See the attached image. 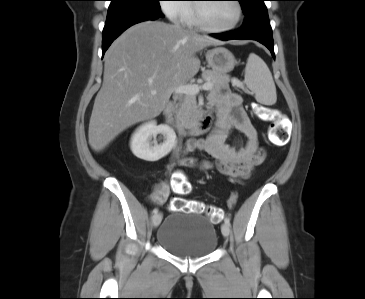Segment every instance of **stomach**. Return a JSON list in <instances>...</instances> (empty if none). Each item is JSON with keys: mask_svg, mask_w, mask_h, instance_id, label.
<instances>
[{"mask_svg": "<svg viewBox=\"0 0 365 299\" xmlns=\"http://www.w3.org/2000/svg\"><path fill=\"white\" fill-rule=\"evenodd\" d=\"M206 60L213 71L226 74L234 69V55L224 47H217L206 52Z\"/></svg>", "mask_w": 365, "mask_h": 299, "instance_id": "stomach-1", "label": "stomach"}]
</instances>
